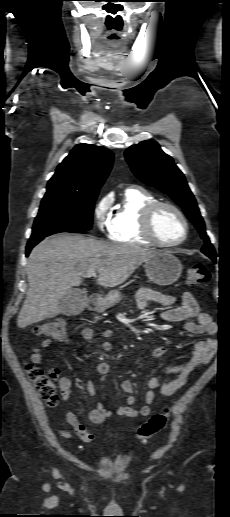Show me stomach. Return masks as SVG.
<instances>
[{"label":"stomach","mask_w":230,"mask_h":517,"mask_svg":"<svg viewBox=\"0 0 230 517\" xmlns=\"http://www.w3.org/2000/svg\"><path fill=\"white\" fill-rule=\"evenodd\" d=\"M148 280L154 284L165 286L176 282L181 276L183 266L179 259L168 252H157L143 264ZM120 300L117 290L110 291L103 299L102 308L112 307Z\"/></svg>","instance_id":"1"}]
</instances>
